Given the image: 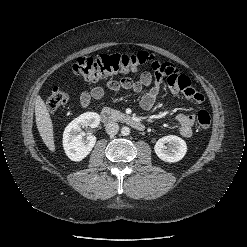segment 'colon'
<instances>
[{
    "label": "colon",
    "instance_id": "5ec220e1",
    "mask_svg": "<svg viewBox=\"0 0 247 247\" xmlns=\"http://www.w3.org/2000/svg\"><path fill=\"white\" fill-rule=\"evenodd\" d=\"M154 57L147 52L134 55L104 54L96 57H80L73 65V71L85 80L94 82L106 76L137 71L144 65L151 63L153 70ZM156 73H159L156 71ZM68 102V95L58 87H54L46 99L49 111H56ZM197 123L201 129H208L211 125V116L206 110L197 113Z\"/></svg>",
    "mask_w": 247,
    "mask_h": 247
}]
</instances>
